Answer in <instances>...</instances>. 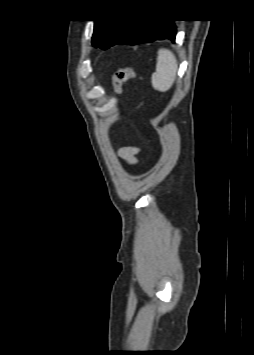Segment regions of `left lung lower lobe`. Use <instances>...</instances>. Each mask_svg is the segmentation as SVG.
Returning <instances> with one entry per match:
<instances>
[{
  "label": "left lung lower lobe",
  "instance_id": "1",
  "mask_svg": "<svg viewBox=\"0 0 254 355\" xmlns=\"http://www.w3.org/2000/svg\"><path fill=\"white\" fill-rule=\"evenodd\" d=\"M176 27L173 20L163 19H131L126 24L122 35L114 45L150 43L156 40L169 39L174 41Z\"/></svg>",
  "mask_w": 254,
  "mask_h": 355
}]
</instances>
